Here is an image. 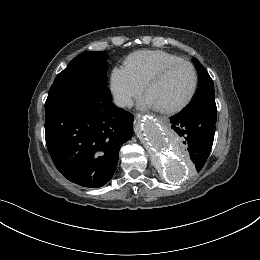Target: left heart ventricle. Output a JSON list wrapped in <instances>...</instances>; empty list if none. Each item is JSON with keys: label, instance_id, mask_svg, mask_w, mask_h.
<instances>
[{"label": "left heart ventricle", "instance_id": "left-heart-ventricle-1", "mask_svg": "<svg viewBox=\"0 0 260 260\" xmlns=\"http://www.w3.org/2000/svg\"><path fill=\"white\" fill-rule=\"evenodd\" d=\"M191 70L187 65H178L169 70L147 93L157 107L179 100L191 83Z\"/></svg>", "mask_w": 260, "mask_h": 260}]
</instances>
